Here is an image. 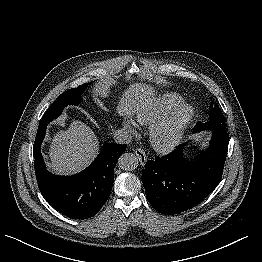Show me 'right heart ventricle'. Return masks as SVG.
<instances>
[{
  "label": "right heart ventricle",
  "mask_w": 262,
  "mask_h": 262,
  "mask_svg": "<svg viewBox=\"0 0 262 262\" xmlns=\"http://www.w3.org/2000/svg\"><path fill=\"white\" fill-rule=\"evenodd\" d=\"M182 101V96L177 93H164L140 107L135 113V118L140 125H153L168 112L179 106Z\"/></svg>",
  "instance_id": "e07e8e85"
}]
</instances>
